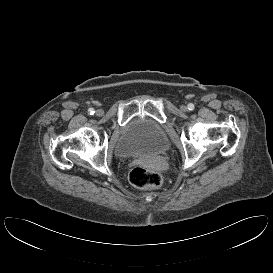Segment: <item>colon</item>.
<instances>
[{
    "label": "colon",
    "instance_id": "1",
    "mask_svg": "<svg viewBox=\"0 0 273 273\" xmlns=\"http://www.w3.org/2000/svg\"><path fill=\"white\" fill-rule=\"evenodd\" d=\"M129 181L137 188L156 189L162 185L163 177L160 173L143 165H136L129 172Z\"/></svg>",
    "mask_w": 273,
    "mask_h": 273
}]
</instances>
